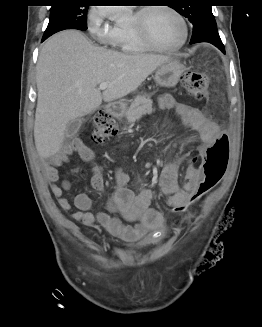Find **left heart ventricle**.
Wrapping results in <instances>:
<instances>
[{
  "mask_svg": "<svg viewBox=\"0 0 262 327\" xmlns=\"http://www.w3.org/2000/svg\"><path fill=\"white\" fill-rule=\"evenodd\" d=\"M145 24L153 40L160 45L173 46L182 39L183 28L180 21L165 9L149 11L145 17Z\"/></svg>",
  "mask_w": 262,
  "mask_h": 327,
  "instance_id": "obj_1",
  "label": "left heart ventricle"
}]
</instances>
